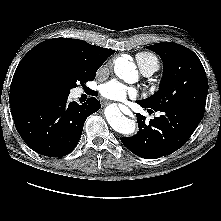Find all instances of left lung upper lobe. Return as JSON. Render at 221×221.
<instances>
[{
  "label": "left lung upper lobe",
  "instance_id": "1",
  "mask_svg": "<svg viewBox=\"0 0 221 221\" xmlns=\"http://www.w3.org/2000/svg\"><path fill=\"white\" fill-rule=\"evenodd\" d=\"M163 61V77L159 90L142 101L155 111L182 108L204 113L208 80L199 58L177 43L163 42L146 47Z\"/></svg>",
  "mask_w": 221,
  "mask_h": 221
}]
</instances>
